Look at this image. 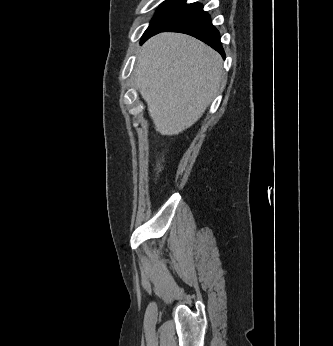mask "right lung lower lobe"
Here are the masks:
<instances>
[{
    "label": "right lung lower lobe",
    "instance_id": "1",
    "mask_svg": "<svg viewBox=\"0 0 333 346\" xmlns=\"http://www.w3.org/2000/svg\"><path fill=\"white\" fill-rule=\"evenodd\" d=\"M160 32H180L191 35L214 48L225 58L220 33L213 26L210 15L203 10V5L200 3L186 4L164 29L146 36L141 43Z\"/></svg>",
    "mask_w": 333,
    "mask_h": 346
}]
</instances>
